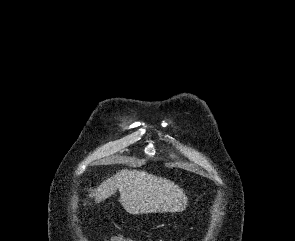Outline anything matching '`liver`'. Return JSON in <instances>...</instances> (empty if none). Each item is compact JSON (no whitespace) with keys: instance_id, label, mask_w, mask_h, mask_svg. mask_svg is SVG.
<instances>
[{"instance_id":"1","label":"liver","mask_w":295,"mask_h":241,"mask_svg":"<svg viewBox=\"0 0 295 241\" xmlns=\"http://www.w3.org/2000/svg\"><path fill=\"white\" fill-rule=\"evenodd\" d=\"M117 190L123 208L133 215L180 212L187 206L188 198L174 182L142 170L124 169L90 189L89 197L96 203L111 197Z\"/></svg>"}]
</instances>
